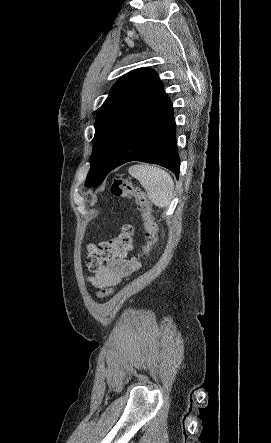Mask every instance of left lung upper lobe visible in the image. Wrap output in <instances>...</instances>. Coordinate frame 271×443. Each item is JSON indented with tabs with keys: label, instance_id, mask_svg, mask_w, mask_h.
<instances>
[{
	"label": "left lung upper lobe",
	"instance_id": "obj_1",
	"mask_svg": "<svg viewBox=\"0 0 271 443\" xmlns=\"http://www.w3.org/2000/svg\"><path fill=\"white\" fill-rule=\"evenodd\" d=\"M159 77L150 68H138L112 87L95 122L90 171L85 185L96 186L110 172L119 142Z\"/></svg>",
	"mask_w": 271,
	"mask_h": 443
}]
</instances>
